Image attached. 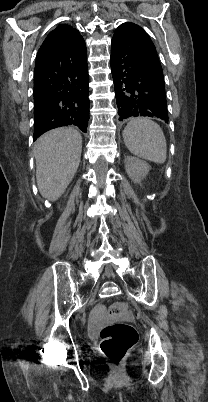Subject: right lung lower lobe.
I'll return each instance as SVG.
<instances>
[{
	"label": "right lung lower lobe",
	"mask_w": 208,
	"mask_h": 402,
	"mask_svg": "<svg viewBox=\"0 0 208 402\" xmlns=\"http://www.w3.org/2000/svg\"><path fill=\"white\" fill-rule=\"evenodd\" d=\"M87 50L82 36L65 47L37 54L34 71V137L61 126L87 131Z\"/></svg>",
	"instance_id": "right-lung-lower-lobe-1"
}]
</instances>
